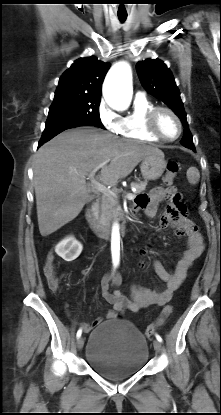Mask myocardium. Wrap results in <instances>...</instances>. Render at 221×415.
Segmentation results:
<instances>
[{"instance_id": "1", "label": "myocardium", "mask_w": 221, "mask_h": 415, "mask_svg": "<svg viewBox=\"0 0 221 415\" xmlns=\"http://www.w3.org/2000/svg\"><path fill=\"white\" fill-rule=\"evenodd\" d=\"M162 112L169 113L176 120L178 124V133L175 137H166L159 130L158 117ZM146 128L151 135L164 142H173L177 140L181 136L183 131L182 121L178 114L173 109L166 106H154L151 110L148 111L146 115Z\"/></svg>"}]
</instances>
